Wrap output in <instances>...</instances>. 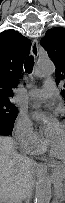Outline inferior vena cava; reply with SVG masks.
Segmentation results:
<instances>
[{"mask_svg":"<svg viewBox=\"0 0 65 203\" xmlns=\"http://www.w3.org/2000/svg\"><path fill=\"white\" fill-rule=\"evenodd\" d=\"M22 196H23V194H20V197H19V199L17 200V203H22Z\"/></svg>","mask_w":65,"mask_h":203,"instance_id":"obj_1","label":"inferior vena cava"}]
</instances>
